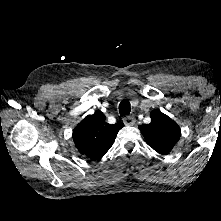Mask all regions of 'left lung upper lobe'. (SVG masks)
<instances>
[{
    "label": "left lung upper lobe",
    "instance_id": "left-lung-upper-lobe-1",
    "mask_svg": "<svg viewBox=\"0 0 221 221\" xmlns=\"http://www.w3.org/2000/svg\"><path fill=\"white\" fill-rule=\"evenodd\" d=\"M149 124L139 125L147 143L158 153H169L180 138V127L159 110L152 111Z\"/></svg>",
    "mask_w": 221,
    "mask_h": 221
}]
</instances>
